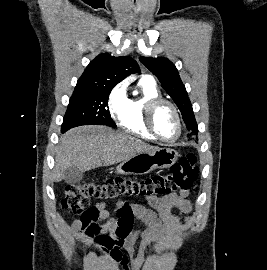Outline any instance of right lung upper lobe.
<instances>
[{"label":"right lung upper lobe","mask_w":267,"mask_h":270,"mask_svg":"<svg viewBox=\"0 0 267 270\" xmlns=\"http://www.w3.org/2000/svg\"><path fill=\"white\" fill-rule=\"evenodd\" d=\"M133 73H140V69L131 57L100 54L86 67L76 87H114Z\"/></svg>","instance_id":"obj_1"}]
</instances>
